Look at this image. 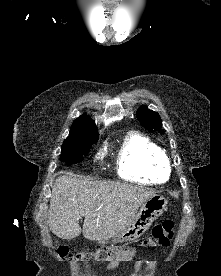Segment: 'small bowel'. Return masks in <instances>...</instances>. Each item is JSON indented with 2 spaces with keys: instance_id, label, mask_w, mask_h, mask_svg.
I'll return each mask as SVG.
<instances>
[{
  "instance_id": "1",
  "label": "small bowel",
  "mask_w": 221,
  "mask_h": 276,
  "mask_svg": "<svg viewBox=\"0 0 221 276\" xmlns=\"http://www.w3.org/2000/svg\"><path fill=\"white\" fill-rule=\"evenodd\" d=\"M135 254V250H130L129 252H123V251H119L115 257L114 260L110 261L107 265H106V269L108 270H113L115 269L118 264L122 261H128L130 260ZM143 261H137L135 263V270H138L139 267L142 265ZM135 274H132L131 276H134Z\"/></svg>"
}]
</instances>
